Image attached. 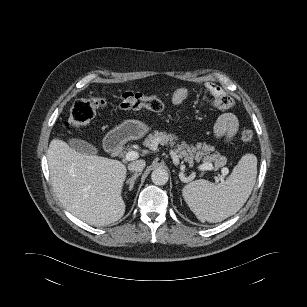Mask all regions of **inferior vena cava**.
<instances>
[{
    "mask_svg": "<svg viewBox=\"0 0 307 307\" xmlns=\"http://www.w3.org/2000/svg\"><path fill=\"white\" fill-rule=\"evenodd\" d=\"M144 160H136L128 164V169L132 172H141L145 168Z\"/></svg>",
    "mask_w": 307,
    "mask_h": 307,
    "instance_id": "602c4592",
    "label": "inferior vena cava"
}]
</instances>
